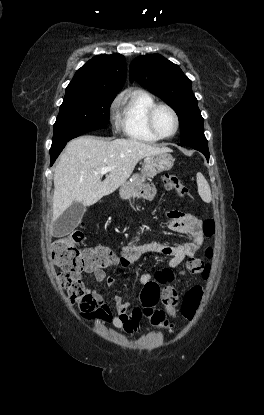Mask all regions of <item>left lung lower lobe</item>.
I'll list each match as a JSON object with an SVG mask.
<instances>
[{"mask_svg": "<svg viewBox=\"0 0 264 415\" xmlns=\"http://www.w3.org/2000/svg\"><path fill=\"white\" fill-rule=\"evenodd\" d=\"M180 146H189L191 148H194L195 150L200 151L201 153L204 154L207 161H209L210 155H209V150H208V141L206 139L181 142Z\"/></svg>", "mask_w": 264, "mask_h": 415, "instance_id": "obj_1", "label": "left lung lower lobe"}]
</instances>
